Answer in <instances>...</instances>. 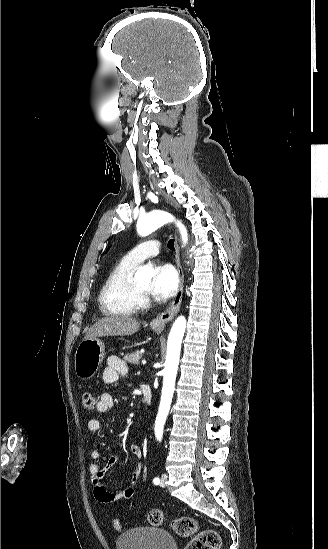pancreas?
Returning a JSON list of instances; mask_svg holds the SVG:
<instances>
[{"instance_id": "pancreas-1", "label": "pancreas", "mask_w": 328, "mask_h": 549, "mask_svg": "<svg viewBox=\"0 0 328 549\" xmlns=\"http://www.w3.org/2000/svg\"><path fill=\"white\" fill-rule=\"evenodd\" d=\"M125 361L127 363H132V365H139L140 359H142V355L140 351H135V353H128V355H125L124 357Z\"/></svg>"}]
</instances>
